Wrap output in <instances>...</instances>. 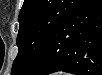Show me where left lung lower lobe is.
<instances>
[{
    "label": "left lung lower lobe",
    "instance_id": "1",
    "mask_svg": "<svg viewBox=\"0 0 102 75\" xmlns=\"http://www.w3.org/2000/svg\"><path fill=\"white\" fill-rule=\"evenodd\" d=\"M101 16L100 1H83L48 38L29 74L64 71L100 75L102 29L98 27L102 26V20L97 18Z\"/></svg>",
    "mask_w": 102,
    "mask_h": 75
}]
</instances>
